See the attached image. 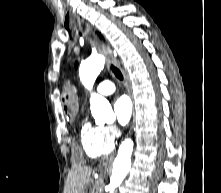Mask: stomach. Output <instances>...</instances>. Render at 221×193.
<instances>
[{
  "instance_id": "obj_1",
  "label": "stomach",
  "mask_w": 221,
  "mask_h": 193,
  "mask_svg": "<svg viewBox=\"0 0 221 193\" xmlns=\"http://www.w3.org/2000/svg\"><path fill=\"white\" fill-rule=\"evenodd\" d=\"M60 107L63 110V115H70V119L73 115H76V112H79V102H77V98H61L60 100ZM76 159H71V164L74 167H81L84 164V155L83 154H76ZM83 193H88L85 191Z\"/></svg>"
}]
</instances>
